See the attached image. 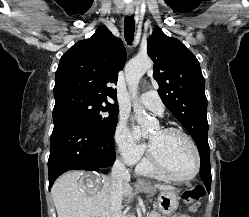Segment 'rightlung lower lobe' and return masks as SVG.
Listing matches in <instances>:
<instances>
[{
	"instance_id": "obj_1",
	"label": "right lung lower lobe",
	"mask_w": 249,
	"mask_h": 217,
	"mask_svg": "<svg viewBox=\"0 0 249 217\" xmlns=\"http://www.w3.org/2000/svg\"><path fill=\"white\" fill-rule=\"evenodd\" d=\"M53 122L48 160L49 190L57 177L68 170H103L114 163V136L91 130L66 110H53Z\"/></svg>"
}]
</instances>
